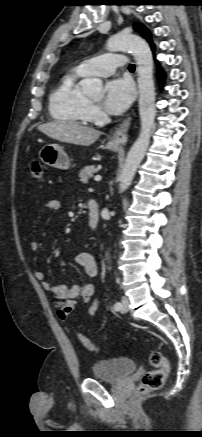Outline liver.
I'll return each mask as SVG.
<instances>
[{
  "label": "liver",
  "mask_w": 202,
  "mask_h": 437,
  "mask_svg": "<svg viewBox=\"0 0 202 437\" xmlns=\"http://www.w3.org/2000/svg\"><path fill=\"white\" fill-rule=\"evenodd\" d=\"M38 130L48 137L75 145L89 146L93 144L102 132L68 121H52L39 125Z\"/></svg>",
  "instance_id": "6515ba94"
}]
</instances>
